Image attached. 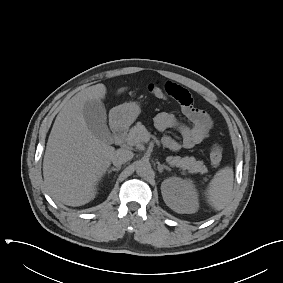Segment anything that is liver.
<instances>
[{
    "label": "liver",
    "mask_w": 283,
    "mask_h": 283,
    "mask_svg": "<svg viewBox=\"0 0 283 283\" xmlns=\"http://www.w3.org/2000/svg\"><path fill=\"white\" fill-rule=\"evenodd\" d=\"M126 88H120L123 92ZM104 84L90 86L63 103L43 159L44 183L53 198L68 206L93 200L115 148L94 136L83 116L84 104L105 97Z\"/></svg>",
    "instance_id": "obj_1"
}]
</instances>
